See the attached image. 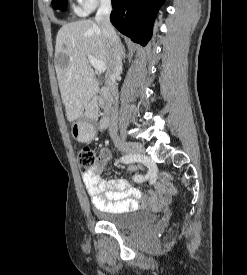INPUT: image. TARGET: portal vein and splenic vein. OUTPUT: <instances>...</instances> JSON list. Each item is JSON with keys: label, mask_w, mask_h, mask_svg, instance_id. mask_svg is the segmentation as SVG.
<instances>
[{"label": "portal vein and splenic vein", "mask_w": 247, "mask_h": 275, "mask_svg": "<svg viewBox=\"0 0 247 275\" xmlns=\"http://www.w3.org/2000/svg\"><path fill=\"white\" fill-rule=\"evenodd\" d=\"M88 61L92 67H94L95 71L98 73H104L106 71V65L104 62L95 59L93 56H88Z\"/></svg>", "instance_id": "obj_1"}]
</instances>
